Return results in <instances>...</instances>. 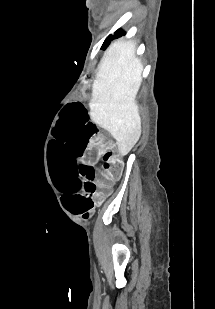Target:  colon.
Masks as SVG:
<instances>
[{
    "mask_svg": "<svg viewBox=\"0 0 215 309\" xmlns=\"http://www.w3.org/2000/svg\"><path fill=\"white\" fill-rule=\"evenodd\" d=\"M102 157L104 170L109 171L114 175L120 173L121 162L113 152H105Z\"/></svg>",
    "mask_w": 215,
    "mask_h": 309,
    "instance_id": "5ec220e1",
    "label": "colon"
}]
</instances>
